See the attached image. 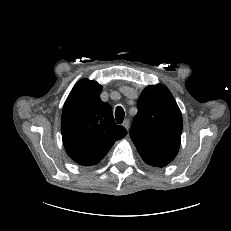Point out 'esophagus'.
<instances>
[{
	"instance_id": "34e87169",
	"label": "esophagus",
	"mask_w": 231,
	"mask_h": 231,
	"mask_svg": "<svg viewBox=\"0 0 231 231\" xmlns=\"http://www.w3.org/2000/svg\"><path fill=\"white\" fill-rule=\"evenodd\" d=\"M123 126L125 127L126 130L129 129V120L128 119L124 120Z\"/></svg>"
}]
</instances>
